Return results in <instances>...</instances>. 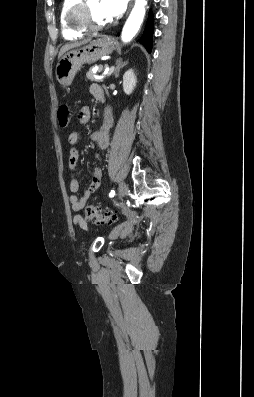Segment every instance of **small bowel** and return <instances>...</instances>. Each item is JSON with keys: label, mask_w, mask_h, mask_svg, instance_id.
<instances>
[{"label": "small bowel", "mask_w": 254, "mask_h": 397, "mask_svg": "<svg viewBox=\"0 0 254 397\" xmlns=\"http://www.w3.org/2000/svg\"><path fill=\"white\" fill-rule=\"evenodd\" d=\"M90 93L94 98L97 100H103L104 99V93L103 89L100 85L98 84H92L90 86ZM91 117V111L88 106H83L78 114V122L80 124H86ZM113 125V116L112 112L109 107H107L104 111V118H103V124L100 128L99 131L94 132L91 136L92 141L96 144L97 146V152L95 154L94 160L95 162H99L101 153L107 149L109 146V130ZM80 140V135L78 132H71L68 137V142L72 146L70 151H69V160H68V167L70 170H74L77 166L78 160H79V151L76 148V145L78 144ZM101 169L100 167H95L91 180L84 190L83 196H78L76 193L79 191V182L76 177L72 176L70 179L69 187L71 192L73 193L70 198L69 202L71 204V207L73 211H80L85 207V204L87 200L90 198V196L99 188L100 186V181H101ZM73 223L80 227L81 229L86 230L87 229V223L81 217L80 215H76L73 218ZM132 231V224L130 222H124L120 226L116 227L113 232L111 233V237L115 238L119 234L122 236H127L131 233Z\"/></svg>", "instance_id": "small-bowel-1"}]
</instances>
